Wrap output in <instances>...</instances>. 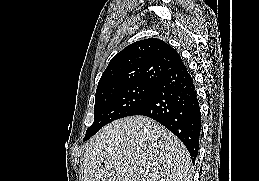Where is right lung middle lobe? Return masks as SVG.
Returning a JSON list of instances; mask_svg holds the SVG:
<instances>
[{
	"mask_svg": "<svg viewBox=\"0 0 259 181\" xmlns=\"http://www.w3.org/2000/svg\"><path fill=\"white\" fill-rule=\"evenodd\" d=\"M156 83H134L96 93L94 122L87 129L84 141L113 120L130 116L152 95Z\"/></svg>",
	"mask_w": 259,
	"mask_h": 181,
	"instance_id": "1",
	"label": "right lung middle lobe"
}]
</instances>
